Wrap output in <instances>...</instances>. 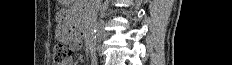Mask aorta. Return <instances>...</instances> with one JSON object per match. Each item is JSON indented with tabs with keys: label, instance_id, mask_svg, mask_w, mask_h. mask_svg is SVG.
<instances>
[{
	"label": "aorta",
	"instance_id": "762f6f07",
	"mask_svg": "<svg viewBox=\"0 0 232 65\" xmlns=\"http://www.w3.org/2000/svg\"><path fill=\"white\" fill-rule=\"evenodd\" d=\"M101 1L102 0H89L84 17L85 38L91 56H94L96 52L97 16Z\"/></svg>",
	"mask_w": 232,
	"mask_h": 65
}]
</instances>
